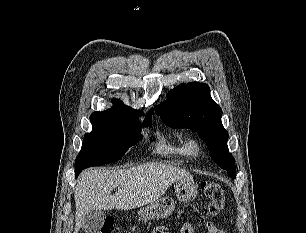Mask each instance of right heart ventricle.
Segmentation results:
<instances>
[{
  "label": "right heart ventricle",
  "mask_w": 306,
  "mask_h": 233,
  "mask_svg": "<svg viewBox=\"0 0 306 233\" xmlns=\"http://www.w3.org/2000/svg\"><path fill=\"white\" fill-rule=\"evenodd\" d=\"M157 151L174 159H180L186 155L185 143L180 138L173 141L162 140L157 146Z\"/></svg>",
  "instance_id": "obj_1"
}]
</instances>
